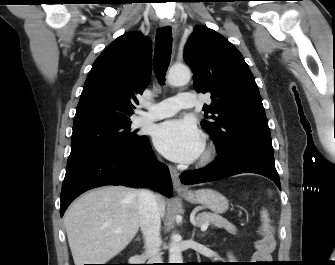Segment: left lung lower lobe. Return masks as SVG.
<instances>
[{"label": "left lung lower lobe", "instance_id": "0a47b994", "mask_svg": "<svg viewBox=\"0 0 335 265\" xmlns=\"http://www.w3.org/2000/svg\"><path fill=\"white\" fill-rule=\"evenodd\" d=\"M240 173L263 175L281 190L279 175L275 168L273 152L252 145H237L218 153L209 166L181 174V182L186 185L210 182Z\"/></svg>", "mask_w": 335, "mask_h": 265}]
</instances>
